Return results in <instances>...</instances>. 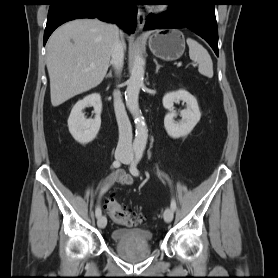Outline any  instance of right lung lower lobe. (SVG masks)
Segmentation results:
<instances>
[{
	"mask_svg": "<svg viewBox=\"0 0 278 278\" xmlns=\"http://www.w3.org/2000/svg\"><path fill=\"white\" fill-rule=\"evenodd\" d=\"M137 8L131 0H51L44 45L51 33L61 24L79 18H99L116 22L127 33L135 31Z\"/></svg>",
	"mask_w": 278,
	"mask_h": 278,
	"instance_id": "right-lung-lower-lobe-1",
	"label": "right lung lower lobe"
}]
</instances>
